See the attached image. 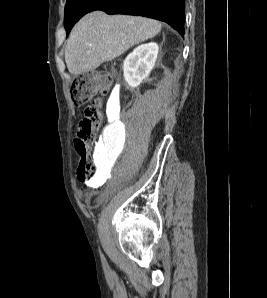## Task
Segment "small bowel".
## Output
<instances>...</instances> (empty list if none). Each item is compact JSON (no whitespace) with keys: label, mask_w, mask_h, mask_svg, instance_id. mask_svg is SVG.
<instances>
[{"label":"small bowel","mask_w":267,"mask_h":298,"mask_svg":"<svg viewBox=\"0 0 267 298\" xmlns=\"http://www.w3.org/2000/svg\"><path fill=\"white\" fill-rule=\"evenodd\" d=\"M112 138V136L109 134L107 136H105L104 140H103V146H107L108 145V141ZM80 197H82L86 202H91V200L95 197V193L93 191H88L85 193H80Z\"/></svg>","instance_id":"c3829d8e"}]
</instances>
